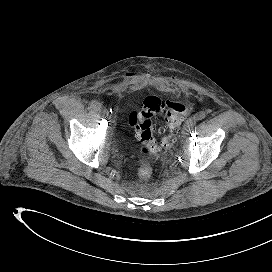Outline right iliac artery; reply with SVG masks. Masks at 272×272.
<instances>
[{
  "label": "right iliac artery",
  "mask_w": 272,
  "mask_h": 272,
  "mask_svg": "<svg viewBox=\"0 0 272 272\" xmlns=\"http://www.w3.org/2000/svg\"><path fill=\"white\" fill-rule=\"evenodd\" d=\"M90 108L93 109V110H95V111H98L101 108V104L98 103L97 101H92L90 103Z\"/></svg>",
  "instance_id": "obj_1"
}]
</instances>
